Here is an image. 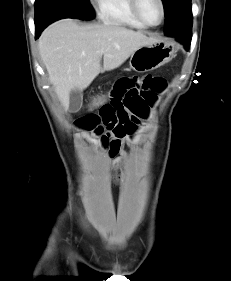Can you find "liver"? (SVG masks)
Wrapping results in <instances>:
<instances>
[{
    "label": "liver",
    "mask_w": 231,
    "mask_h": 281,
    "mask_svg": "<svg viewBox=\"0 0 231 281\" xmlns=\"http://www.w3.org/2000/svg\"><path fill=\"white\" fill-rule=\"evenodd\" d=\"M158 41L119 25H79L73 19H62L43 31L39 52L48 79L67 110L72 90L86 89L101 71L119 67L140 47Z\"/></svg>",
    "instance_id": "1"
}]
</instances>
